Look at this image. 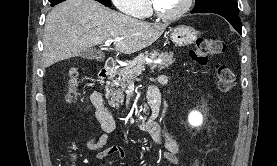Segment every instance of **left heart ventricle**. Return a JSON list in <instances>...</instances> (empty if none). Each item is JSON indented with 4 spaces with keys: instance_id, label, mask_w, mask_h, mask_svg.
<instances>
[{
    "instance_id": "b2bd125f",
    "label": "left heart ventricle",
    "mask_w": 277,
    "mask_h": 166,
    "mask_svg": "<svg viewBox=\"0 0 277 166\" xmlns=\"http://www.w3.org/2000/svg\"><path fill=\"white\" fill-rule=\"evenodd\" d=\"M155 2L162 12L172 14L182 8L185 0H155Z\"/></svg>"
}]
</instances>
